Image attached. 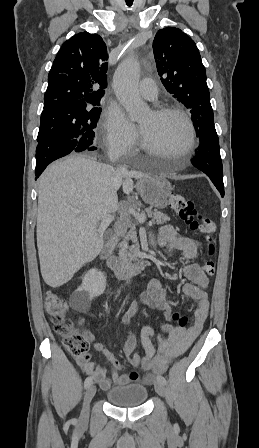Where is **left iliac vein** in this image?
<instances>
[{"mask_svg":"<svg viewBox=\"0 0 259 448\" xmlns=\"http://www.w3.org/2000/svg\"><path fill=\"white\" fill-rule=\"evenodd\" d=\"M155 390L161 397L166 396V390L164 384L160 383L159 381H157L155 384Z\"/></svg>","mask_w":259,"mask_h":448,"instance_id":"1","label":"left iliac vein"}]
</instances>
